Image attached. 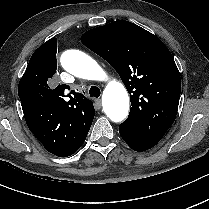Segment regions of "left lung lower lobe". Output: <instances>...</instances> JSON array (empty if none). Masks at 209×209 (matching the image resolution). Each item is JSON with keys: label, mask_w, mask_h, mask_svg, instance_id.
I'll list each match as a JSON object with an SVG mask.
<instances>
[{"label": "left lung lower lobe", "mask_w": 209, "mask_h": 209, "mask_svg": "<svg viewBox=\"0 0 209 209\" xmlns=\"http://www.w3.org/2000/svg\"><path fill=\"white\" fill-rule=\"evenodd\" d=\"M119 132L123 140L135 151H145L154 147L159 141L143 135L138 130L120 125Z\"/></svg>", "instance_id": "0a47b994"}]
</instances>
